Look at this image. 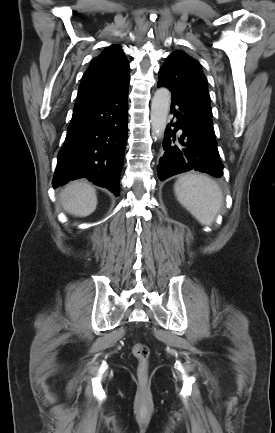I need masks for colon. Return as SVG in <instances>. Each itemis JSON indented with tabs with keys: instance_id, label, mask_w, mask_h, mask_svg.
I'll list each match as a JSON object with an SVG mask.
<instances>
[{
	"instance_id": "obj_1",
	"label": "colon",
	"mask_w": 275,
	"mask_h": 433,
	"mask_svg": "<svg viewBox=\"0 0 275 433\" xmlns=\"http://www.w3.org/2000/svg\"><path fill=\"white\" fill-rule=\"evenodd\" d=\"M132 354L137 361L136 375L141 383H146L148 379L150 350L143 343H135L131 348Z\"/></svg>"
}]
</instances>
